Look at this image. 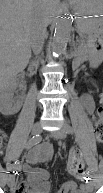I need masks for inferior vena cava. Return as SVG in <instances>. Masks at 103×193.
<instances>
[{"label": "inferior vena cava", "instance_id": "602c4592", "mask_svg": "<svg viewBox=\"0 0 103 193\" xmlns=\"http://www.w3.org/2000/svg\"><path fill=\"white\" fill-rule=\"evenodd\" d=\"M30 45L35 55L42 51L46 26L42 20L34 21L30 26Z\"/></svg>", "mask_w": 103, "mask_h": 193}]
</instances>
